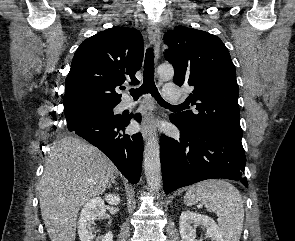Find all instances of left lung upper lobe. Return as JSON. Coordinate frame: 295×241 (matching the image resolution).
Instances as JSON below:
<instances>
[{
  "label": "left lung upper lobe",
  "instance_id": "obj_1",
  "mask_svg": "<svg viewBox=\"0 0 295 241\" xmlns=\"http://www.w3.org/2000/svg\"><path fill=\"white\" fill-rule=\"evenodd\" d=\"M164 38L168 45L165 58L175 70L174 83L194 87L188 101L198 112L173 114L181 128L188 132H216L241 140L235 66L220 38L186 27H176Z\"/></svg>",
  "mask_w": 295,
  "mask_h": 241
}]
</instances>
